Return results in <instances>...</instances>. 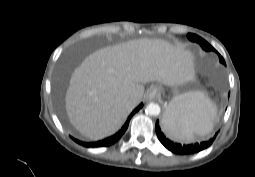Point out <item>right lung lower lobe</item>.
<instances>
[{"instance_id":"obj_1","label":"right lung lower lobe","mask_w":255,"mask_h":177,"mask_svg":"<svg viewBox=\"0 0 255 177\" xmlns=\"http://www.w3.org/2000/svg\"><path fill=\"white\" fill-rule=\"evenodd\" d=\"M143 104H140L137 108H135L133 110V112L131 113V115L129 116V118L127 119V121L125 122L124 126L113 136H110L106 139H103L101 141H97V142H82L79 141L77 139H74L75 142H77L78 144L84 146V147H105V146H109L112 145L114 143H116L121 136L125 133L126 129L128 128L129 125V121L131 119V117L138 112L141 108H142Z\"/></svg>"}]
</instances>
